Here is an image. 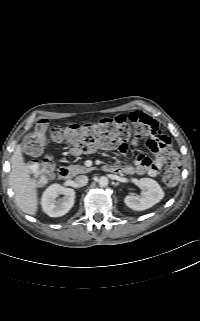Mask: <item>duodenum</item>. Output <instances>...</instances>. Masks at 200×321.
I'll return each instance as SVG.
<instances>
[{
    "label": "duodenum",
    "instance_id": "1",
    "mask_svg": "<svg viewBox=\"0 0 200 321\" xmlns=\"http://www.w3.org/2000/svg\"><path fill=\"white\" fill-rule=\"evenodd\" d=\"M108 171L117 173V168L116 167H108ZM71 171L67 167H61L59 169V178L62 180H68L71 178Z\"/></svg>",
    "mask_w": 200,
    "mask_h": 321
}]
</instances>
